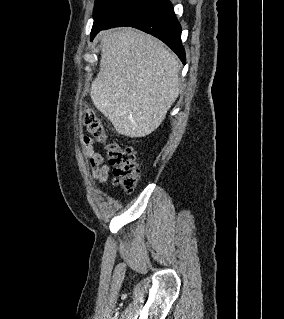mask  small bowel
<instances>
[{
	"instance_id": "1",
	"label": "small bowel",
	"mask_w": 284,
	"mask_h": 319,
	"mask_svg": "<svg viewBox=\"0 0 284 319\" xmlns=\"http://www.w3.org/2000/svg\"><path fill=\"white\" fill-rule=\"evenodd\" d=\"M82 146L85 158L90 165L92 178L97 180L100 184L106 183L108 180L110 167L106 164H103V156L94 150L93 140L88 136H84L82 139Z\"/></svg>"
}]
</instances>
